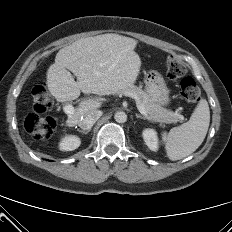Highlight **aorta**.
I'll return each instance as SVG.
<instances>
[{"mask_svg": "<svg viewBox=\"0 0 232 232\" xmlns=\"http://www.w3.org/2000/svg\"><path fill=\"white\" fill-rule=\"evenodd\" d=\"M114 119L118 123H125L127 121V115L123 111H118L115 113Z\"/></svg>", "mask_w": 232, "mask_h": 232, "instance_id": "762f6f07", "label": "aorta"}]
</instances>
